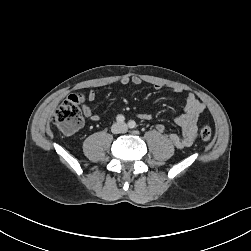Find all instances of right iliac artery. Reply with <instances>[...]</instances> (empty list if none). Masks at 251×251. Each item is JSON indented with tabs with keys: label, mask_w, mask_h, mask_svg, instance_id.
<instances>
[{
	"label": "right iliac artery",
	"mask_w": 251,
	"mask_h": 251,
	"mask_svg": "<svg viewBox=\"0 0 251 251\" xmlns=\"http://www.w3.org/2000/svg\"><path fill=\"white\" fill-rule=\"evenodd\" d=\"M116 120H117V122H119V123H123L124 120H125V117H124L123 115H118V116L116 117Z\"/></svg>",
	"instance_id": "right-iliac-artery-1"
}]
</instances>
